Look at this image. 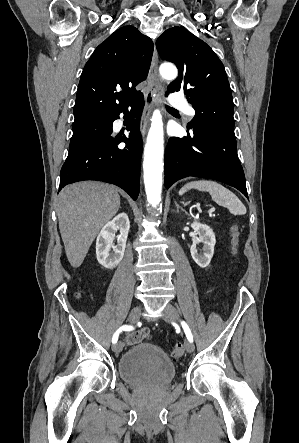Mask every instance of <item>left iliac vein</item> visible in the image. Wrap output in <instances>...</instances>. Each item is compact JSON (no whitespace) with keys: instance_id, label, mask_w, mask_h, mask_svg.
Here are the masks:
<instances>
[{"instance_id":"left-iliac-vein-1","label":"left iliac vein","mask_w":299,"mask_h":443,"mask_svg":"<svg viewBox=\"0 0 299 443\" xmlns=\"http://www.w3.org/2000/svg\"><path fill=\"white\" fill-rule=\"evenodd\" d=\"M163 319L168 322L178 321L179 314L177 309L171 304L166 305L163 312ZM184 345L187 352L192 353L194 351V345L189 340H186Z\"/></svg>"}]
</instances>
